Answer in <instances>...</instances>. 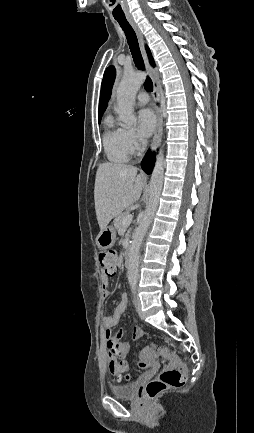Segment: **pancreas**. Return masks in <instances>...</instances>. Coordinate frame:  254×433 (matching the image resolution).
<instances>
[{
    "mask_svg": "<svg viewBox=\"0 0 254 433\" xmlns=\"http://www.w3.org/2000/svg\"><path fill=\"white\" fill-rule=\"evenodd\" d=\"M129 214L128 211L125 212H121L120 214H118L114 220V226L117 230L121 229L124 225H123V219L125 216H127ZM129 232V231H128ZM127 232V235H128Z\"/></svg>",
    "mask_w": 254,
    "mask_h": 433,
    "instance_id": "pancreas-1",
    "label": "pancreas"
}]
</instances>
